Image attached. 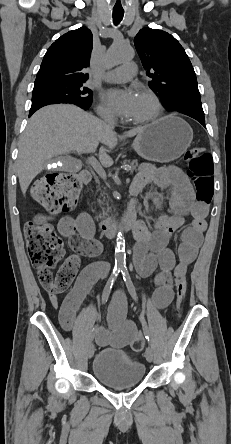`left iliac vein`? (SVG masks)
I'll use <instances>...</instances> for the list:
<instances>
[{"label":"left iliac vein","mask_w":231,"mask_h":444,"mask_svg":"<svg viewBox=\"0 0 231 444\" xmlns=\"http://www.w3.org/2000/svg\"><path fill=\"white\" fill-rule=\"evenodd\" d=\"M145 357L147 361L152 362L153 360V350L151 347H147L145 350Z\"/></svg>","instance_id":"left-iliac-vein-1"}]
</instances>
